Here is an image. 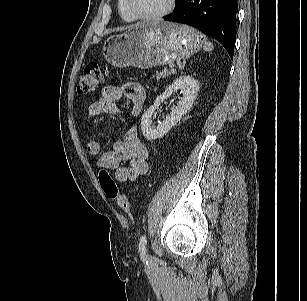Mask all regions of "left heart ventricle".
Listing matches in <instances>:
<instances>
[{
    "instance_id": "obj_1",
    "label": "left heart ventricle",
    "mask_w": 307,
    "mask_h": 301,
    "mask_svg": "<svg viewBox=\"0 0 307 301\" xmlns=\"http://www.w3.org/2000/svg\"><path fill=\"white\" fill-rule=\"evenodd\" d=\"M169 0H133L136 9L143 15H152L165 9Z\"/></svg>"
}]
</instances>
